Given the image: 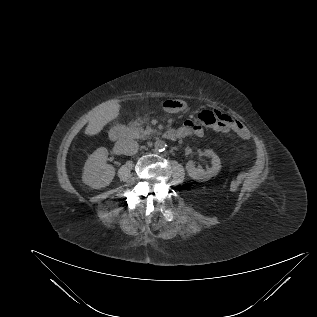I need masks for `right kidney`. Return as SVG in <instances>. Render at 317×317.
<instances>
[{
    "label": "right kidney",
    "instance_id": "obj_1",
    "mask_svg": "<svg viewBox=\"0 0 317 317\" xmlns=\"http://www.w3.org/2000/svg\"><path fill=\"white\" fill-rule=\"evenodd\" d=\"M108 150L104 147L98 148L87 159L82 175L83 182L93 189H101L108 186L115 176L112 165L106 164Z\"/></svg>",
    "mask_w": 317,
    "mask_h": 317
}]
</instances>
